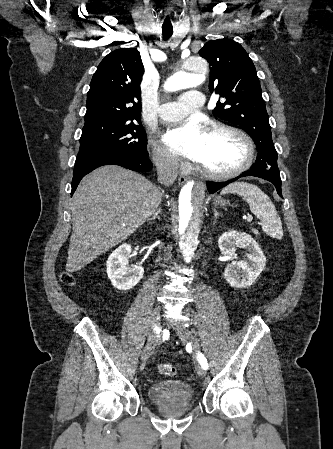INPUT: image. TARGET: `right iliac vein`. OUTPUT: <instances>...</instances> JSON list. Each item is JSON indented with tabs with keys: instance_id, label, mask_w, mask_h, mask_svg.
Instances as JSON below:
<instances>
[{
	"instance_id": "63e3f726",
	"label": "right iliac vein",
	"mask_w": 333,
	"mask_h": 449,
	"mask_svg": "<svg viewBox=\"0 0 333 449\" xmlns=\"http://www.w3.org/2000/svg\"><path fill=\"white\" fill-rule=\"evenodd\" d=\"M159 312H160L159 307H155L153 310L152 328L149 332L147 343H146V345L142 351V355H141L142 360H147L150 357L152 350L158 341L159 332H160V329L158 326Z\"/></svg>"
}]
</instances>
